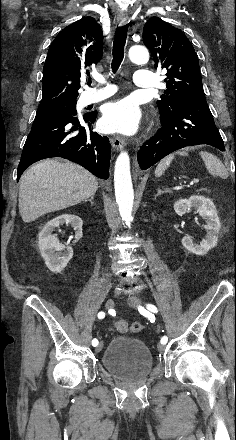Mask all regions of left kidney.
Here are the masks:
<instances>
[{"instance_id": "1", "label": "left kidney", "mask_w": 236, "mask_h": 440, "mask_svg": "<svg viewBox=\"0 0 236 440\" xmlns=\"http://www.w3.org/2000/svg\"><path fill=\"white\" fill-rule=\"evenodd\" d=\"M191 208L197 209L200 216L206 219L204 228L207 231V235L200 244L194 243L190 236H184L182 238V245L191 253L205 255L217 245L221 223L214 203L204 196L193 195L189 199H180L174 203V211L179 216H182Z\"/></svg>"}]
</instances>
